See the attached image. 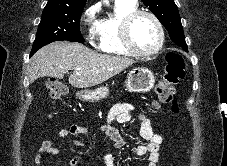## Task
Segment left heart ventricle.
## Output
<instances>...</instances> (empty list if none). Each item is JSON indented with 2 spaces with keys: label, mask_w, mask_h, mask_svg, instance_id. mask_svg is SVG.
<instances>
[{
  "label": "left heart ventricle",
  "mask_w": 227,
  "mask_h": 166,
  "mask_svg": "<svg viewBox=\"0 0 227 166\" xmlns=\"http://www.w3.org/2000/svg\"><path fill=\"white\" fill-rule=\"evenodd\" d=\"M134 44L141 50H151L157 43L158 32L154 22L147 16L139 17L131 29Z\"/></svg>",
  "instance_id": "left-heart-ventricle-1"
}]
</instances>
